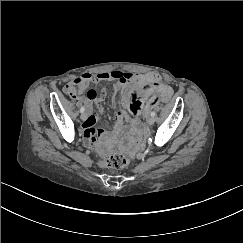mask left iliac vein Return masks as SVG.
I'll use <instances>...</instances> for the list:
<instances>
[{"instance_id": "obj_1", "label": "left iliac vein", "mask_w": 243, "mask_h": 243, "mask_svg": "<svg viewBox=\"0 0 243 243\" xmlns=\"http://www.w3.org/2000/svg\"><path fill=\"white\" fill-rule=\"evenodd\" d=\"M154 122H155V118H154V117H150V118H148V120H147V123H148L149 125H153Z\"/></svg>"}]
</instances>
